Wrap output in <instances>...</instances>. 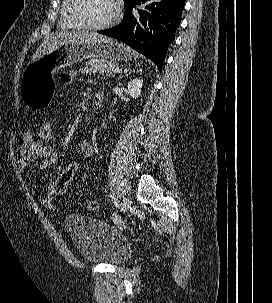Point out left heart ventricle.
<instances>
[{"instance_id":"b2bd125f","label":"left heart ventricle","mask_w":272,"mask_h":303,"mask_svg":"<svg viewBox=\"0 0 272 303\" xmlns=\"http://www.w3.org/2000/svg\"><path fill=\"white\" fill-rule=\"evenodd\" d=\"M77 12L87 23L99 25L113 16L115 5L113 0H82Z\"/></svg>"}]
</instances>
